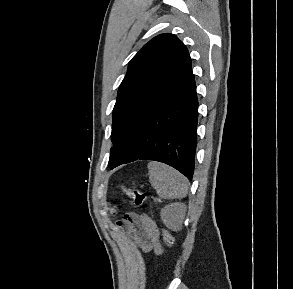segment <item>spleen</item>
I'll return each mask as SVG.
<instances>
[{"label": "spleen", "instance_id": "obj_1", "mask_svg": "<svg viewBox=\"0 0 293 289\" xmlns=\"http://www.w3.org/2000/svg\"><path fill=\"white\" fill-rule=\"evenodd\" d=\"M149 181L157 194L164 199H181L188 192L186 178L177 170L159 162L148 164Z\"/></svg>", "mask_w": 293, "mask_h": 289}]
</instances>
